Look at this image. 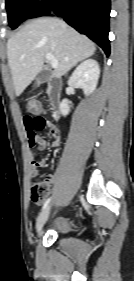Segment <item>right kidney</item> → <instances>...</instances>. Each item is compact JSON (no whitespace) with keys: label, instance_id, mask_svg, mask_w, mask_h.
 <instances>
[{"label":"right kidney","instance_id":"ca27d5eb","mask_svg":"<svg viewBox=\"0 0 134 281\" xmlns=\"http://www.w3.org/2000/svg\"><path fill=\"white\" fill-rule=\"evenodd\" d=\"M100 75V68L96 60L88 59L82 62L70 77L69 83L73 87L83 89L86 96L90 95L96 89ZM60 111L63 116H66L69 111V101L63 99L60 103Z\"/></svg>","mask_w":134,"mask_h":281}]
</instances>
